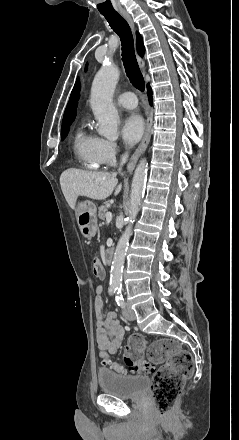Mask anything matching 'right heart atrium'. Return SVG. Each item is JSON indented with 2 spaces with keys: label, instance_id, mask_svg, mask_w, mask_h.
I'll list each match as a JSON object with an SVG mask.
<instances>
[{
  "label": "right heart atrium",
  "instance_id": "1",
  "mask_svg": "<svg viewBox=\"0 0 239 440\" xmlns=\"http://www.w3.org/2000/svg\"><path fill=\"white\" fill-rule=\"evenodd\" d=\"M96 146L103 164L107 166L114 164L118 155L117 144L108 139L97 138Z\"/></svg>",
  "mask_w": 239,
  "mask_h": 440
}]
</instances>
